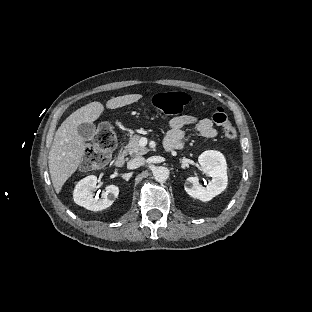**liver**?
Masks as SVG:
<instances>
[{
    "instance_id": "6515ba94",
    "label": "liver",
    "mask_w": 312,
    "mask_h": 312,
    "mask_svg": "<svg viewBox=\"0 0 312 312\" xmlns=\"http://www.w3.org/2000/svg\"><path fill=\"white\" fill-rule=\"evenodd\" d=\"M142 94H127L111 98L106 108L115 110L133 104ZM105 111L98 101L90 102L70 114L57 129L48 156V167L54 190L59 194L66 181L78 170L86 150L85 140L78 134L81 123L97 121Z\"/></svg>"
}]
</instances>
